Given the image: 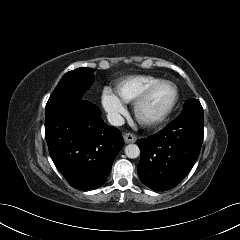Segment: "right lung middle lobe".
Returning <instances> with one entry per match:
<instances>
[{"instance_id": "right-lung-middle-lobe-1", "label": "right lung middle lobe", "mask_w": 240, "mask_h": 240, "mask_svg": "<svg viewBox=\"0 0 240 240\" xmlns=\"http://www.w3.org/2000/svg\"><path fill=\"white\" fill-rule=\"evenodd\" d=\"M94 70L91 68H77L66 73L51 94L46 106L82 98L85 91L94 82Z\"/></svg>"}]
</instances>
